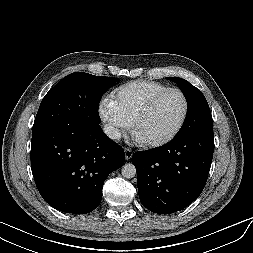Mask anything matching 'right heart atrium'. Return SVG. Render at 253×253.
I'll list each match as a JSON object with an SVG mask.
<instances>
[{
  "mask_svg": "<svg viewBox=\"0 0 253 253\" xmlns=\"http://www.w3.org/2000/svg\"><path fill=\"white\" fill-rule=\"evenodd\" d=\"M99 113L101 119L107 123L110 135L114 139L119 138L130 126L112 98L102 100L99 106Z\"/></svg>",
  "mask_w": 253,
  "mask_h": 253,
  "instance_id": "d8ad5b80",
  "label": "right heart atrium"
}]
</instances>
